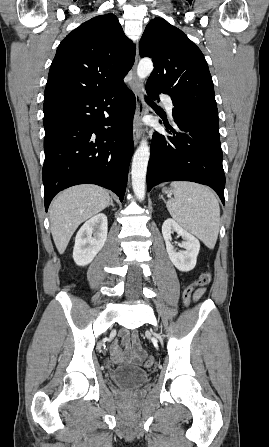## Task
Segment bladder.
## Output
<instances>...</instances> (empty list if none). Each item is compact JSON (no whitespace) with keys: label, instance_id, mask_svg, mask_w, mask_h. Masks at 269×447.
<instances>
[{"label":"bladder","instance_id":"31cf9c89","mask_svg":"<svg viewBox=\"0 0 269 447\" xmlns=\"http://www.w3.org/2000/svg\"><path fill=\"white\" fill-rule=\"evenodd\" d=\"M149 377L150 374L145 369L132 365L119 366L111 373L114 384L126 389H138Z\"/></svg>","mask_w":269,"mask_h":447}]
</instances>
